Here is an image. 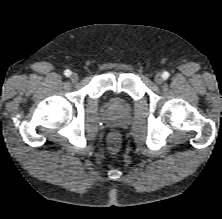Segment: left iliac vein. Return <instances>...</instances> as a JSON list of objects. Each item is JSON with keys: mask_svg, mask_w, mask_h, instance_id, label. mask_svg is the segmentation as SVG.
Instances as JSON below:
<instances>
[{"mask_svg": "<svg viewBox=\"0 0 222 219\" xmlns=\"http://www.w3.org/2000/svg\"><path fill=\"white\" fill-rule=\"evenodd\" d=\"M155 82H156L157 84H161V83L163 82V77H162V75H161L160 73H157V74L155 75Z\"/></svg>", "mask_w": 222, "mask_h": 219, "instance_id": "obj_1", "label": "left iliac vein"}]
</instances>
